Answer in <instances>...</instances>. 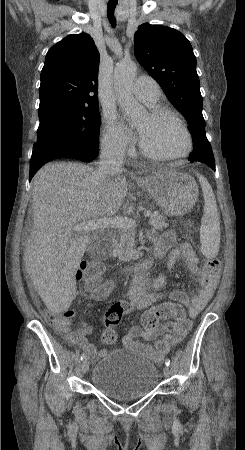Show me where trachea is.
<instances>
[{"label": "trachea", "mask_w": 245, "mask_h": 450, "mask_svg": "<svg viewBox=\"0 0 245 450\" xmlns=\"http://www.w3.org/2000/svg\"><path fill=\"white\" fill-rule=\"evenodd\" d=\"M116 5H117V0H110L108 2V6H107V16H108V19H109L112 27H115V23H116L115 18H114V10L116 8Z\"/></svg>", "instance_id": "obj_1"}]
</instances>
